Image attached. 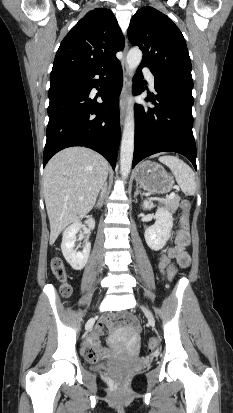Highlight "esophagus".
<instances>
[{
    "label": "esophagus",
    "instance_id": "obj_1",
    "mask_svg": "<svg viewBox=\"0 0 233 413\" xmlns=\"http://www.w3.org/2000/svg\"><path fill=\"white\" fill-rule=\"evenodd\" d=\"M127 51H128V43L126 41V44L123 50V59L121 60V66H122V72H123V86H122V90H121L120 98H119L121 125H123L125 121L127 97H128V90H129V84H130V79H131L128 65L126 62Z\"/></svg>",
    "mask_w": 233,
    "mask_h": 413
}]
</instances>
